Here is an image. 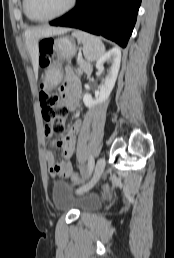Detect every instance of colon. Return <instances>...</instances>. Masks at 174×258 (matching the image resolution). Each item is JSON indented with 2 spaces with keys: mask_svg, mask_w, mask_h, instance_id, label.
Wrapping results in <instances>:
<instances>
[{
  "mask_svg": "<svg viewBox=\"0 0 174 258\" xmlns=\"http://www.w3.org/2000/svg\"><path fill=\"white\" fill-rule=\"evenodd\" d=\"M40 64L46 66L49 64L52 52H53V41L50 39H44L40 42ZM40 104L42 107V116L49 126L52 134L60 136L61 138L65 135V121L68 115V109L61 104L59 97L56 93H47L41 91L39 94ZM70 180L74 183H78L83 179V176L72 172ZM103 190L108 195H114L112 189L103 185Z\"/></svg>",
  "mask_w": 174,
  "mask_h": 258,
  "instance_id": "5ec220e1",
  "label": "colon"
}]
</instances>
